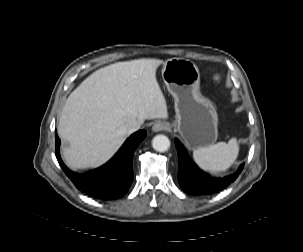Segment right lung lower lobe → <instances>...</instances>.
Returning a JSON list of instances; mask_svg holds the SVG:
<instances>
[{
  "mask_svg": "<svg viewBox=\"0 0 303 252\" xmlns=\"http://www.w3.org/2000/svg\"><path fill=\"white\" fill-rule=\"evenodd\" d=\"M146 135L145 130L134 133L109 162L84 174L69 170L62 162L59 153L60 139L57 134L55 135L56 157L63 171L79 190L97 199H117L122 197L131 186L132 156Z\"/></svg>",
  "mask_w": 303,
  "mask_h": 252,
  "instance_id": "1",
  "label": "right lung lower lobe"
}]
</instances>
